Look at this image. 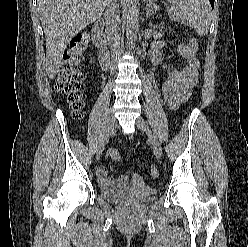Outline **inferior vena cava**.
I'll return each instance as SVG.
<instances>
[{"label": "inferior vena cava", "mask_w": 248, "mask_h": 247, "mask_svg": "<svg viewBox=\"0 0 248 247\" xmlns=\"http://www.w3.org/2000/svg\"><path fill=\"white\" fill-rule=\"evenodd\" d=\"M105 12L106 32L110 36V47L112 58L120 55V36L118 33L120 24V12L116 0H108Z\"/></svg>", "instance_id": "602c4592"}]
</instances>
